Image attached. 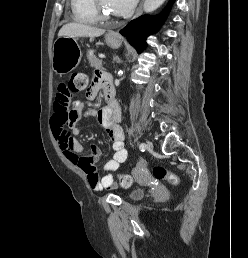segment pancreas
Returning <instances> with one entry per match:
<instances>
[{"label":"pancreas","mask_w":248,"mask_h":258,"mask_svg":"<svg viewBox=\"0 0 248 258\" xmlns=\"http://www.w3.org/2000/svg\"><path fill=\"white\" fill-rule=\"evenodd\" d=\"M87 59L89 60L91 67L102 68V61L96 58L94 50H89L87 52Z\"/></svg>","instance_id":"pancreas-1"}]
</instances>
